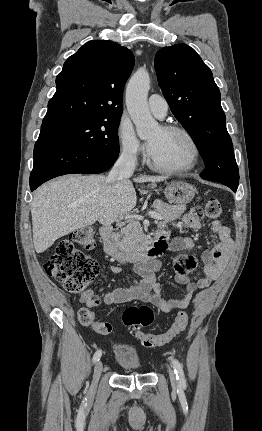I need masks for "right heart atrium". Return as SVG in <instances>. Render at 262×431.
<instances>
[{
  "label": "right heart atrium",
  "instance_id": "d8ad5b80",
  "mask_svg": "<svg viewBox=\"0 0 262 431\" xmlns=\"http://www.w3.org/2000/svg\"><path fill=\"white\" fill-rule=\"evenodd\" d=\"M121 154L129 160L137 159L143 152V146L137 138L133 126L127 120H122L117 130Z\"/></svg>",
  "mask_w": 262,
  "mask_h": 431
}]
</instances>
